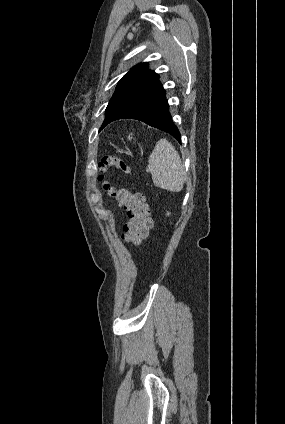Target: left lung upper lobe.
<instances>
[{
	"label": "left lung upper lobe",
	"mask_w": 285,
	"mask_h": 424,
	"mask_svg": "<svg viewBox=\"0 0 285 424\" xmlns=\"http://www.w3.org/2000/svg\"><path fill=\"white\" fill-rule=\"evenodd\" d=\"M158 77L159 75L157 73L148 69V64L146 62L134 66L119 81L118 86L106 108L105 119L119 103L143 87L149 85L158 79Z\"/></svg>",
	"instance_id": "5c2ea615"
}]
</instances>
